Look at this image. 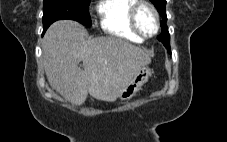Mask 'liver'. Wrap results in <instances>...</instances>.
<instances>
[{
    "mask_svg": "<svg viewBox=\"0 0 227 142\" xmlns=\"http://www.w3.org/2000/svg\"><path fill=\"white\" fill-rule=\"evenodd\" d=\"M86 37L85 28L71 20L56 21L48 28L42 44L47 80L74 105L83 104L88 94L114 102L151 58L120 38Z\"/></svg>",
    "mask_w": 227,
    "mask_h": 142,
    "instance_id": "1",
    "label": "liver"
}]
</instances>
